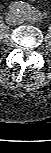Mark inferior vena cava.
<instances>
[{"instance_id": "602c4592", "label": "inferior vena cava", "mask_w": 51, "mask_h": 153, "mask_svg": "<svg viewBox=\"0 0 51 153\" xmlns=\"http://www.w3.org/2000/svg\"><path fill=\"white\" fill-rule=\"evenodd\" d=\"M10 15V18L8 19V21H9V23H11V24H17V23H20V19L18 18V19H16L15 18V16H18L17 14H12V13H10L9 14ZM14 17V18H13Z\"/></svg>"}]
</instances>
